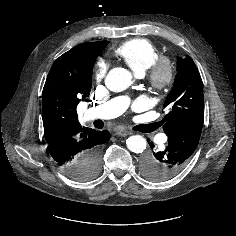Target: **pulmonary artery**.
Instances as JSON below:
<instances>
[{
  "instance_id": "pulmonary-artery-1",
  "label": "pulmonary artery",
  "mask_w": 236,
  "mask_h": 236,
  "mask_svg": "<svg viewBox=\"0 0 236 236\" xmlns=\"http://www.w3.org/2000/svg\"><path fill=\"white\" fill-rule=\"evenodd\" d=\"M130 98L122 95L115 97L102 105H99L93 109H89L85 112L86 119H110L121 115L129 106ZM160 144H164L167 141V137L161 134L158 138Z\"/></svg>"
}]
</instances>
